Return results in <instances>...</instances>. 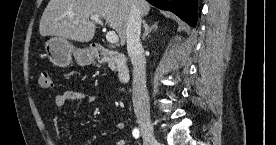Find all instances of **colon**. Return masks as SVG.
Returning a JSON list of instances; mask_svg holds the SVG:
<instances>
[{
	"instance_id": "5ec220e1",
	"label": "colon",
	"mask_w": 276,
	"mask_h": 145,
	"mask_svg": "<svg viewBox=\"0 0 276 145\" xmlns=\"http://www.w3.org/2000/svg\"><path fill=\"white\" fill-rule=\"evenodd\" d=\"M37 86L41 89H51L53 87V81L51 74L48 71H41L37 77Z\"/></svg>"
}]
</instances>
